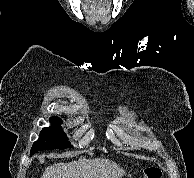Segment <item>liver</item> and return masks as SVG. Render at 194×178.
Instances as JSON below:
<instances>
[{
    "instance_id": "6515ba94",
    "label": "liver",
    "mask_w": 194,
    "mask_h": 178,
    "mask_svg": "<svg viewBox=\"0 0 194 178\" xmlns=\"http://www.w3.org/2000/svg\"><path fill=\"white\" fill-rule=\"evenodd\" d=\"M125 171L108 159L80 158L47 167L41 178H122Z\"/></svg>"
}]
</instances>
